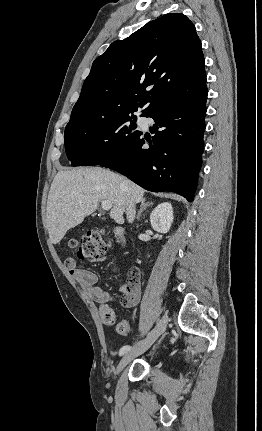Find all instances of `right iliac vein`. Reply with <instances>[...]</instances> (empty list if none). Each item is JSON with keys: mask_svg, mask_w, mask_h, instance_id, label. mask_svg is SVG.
Segmentation results:
<instances>
[{"mask_svg": "<svg viewBox=\"0 0 262 431\" xmlns=\"http://www.w3.org/2000/svg\"><path fill=\"white\" fill-rule=\"evenodd\" d=\"M168 318L164 315L159 322L156 324L155 328L148 334V336L136 346L131 348L125 353V355L120 360L115 375L119 374L122 369L131 362L135 357L143 354L147 351L151 345L156 341V339L165 331Z\"/></svg>", "mask_w": 262, "mask_h": 431, "instance_id": "obj_1", "label": "right iliac vein"}]
</instances>
